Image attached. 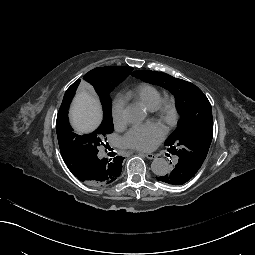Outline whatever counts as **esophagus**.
<instances>
[{"instance_id": "esophagus-1", "label": "esophagus", "mask_w": 255, "mask_h": 255, "mask_svg": "<svg viewBox=\"0 0 255 255\" xmlns=\"http://www.w3.org/2000/svg\"><path fill=\"white\" fill-rule=\"evenodd\" d=\"M144 156L148 159H156L157 158V156L155 154H151V153L145 154Z\"/></svg>"}]
</instances>
